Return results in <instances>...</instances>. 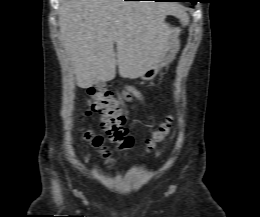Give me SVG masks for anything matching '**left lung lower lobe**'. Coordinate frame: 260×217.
<instances>
[{
  "mask_svg": "<svg viewBox=\"0 0 260 217\" xmlns=\"http://www.w3.org/2000/svg\"><path fill=\"white\" fill-rule=\"evenodd\" d=\"M156 1H176V0H156ZM190 2L195 4L196 0H191Z\"/></svg>",
  "mask_w": 260,
  "mask_h": 217,
  "instance_id": "0a47b994",
  "label": "left lung lower lobe"
}]
</instances>
